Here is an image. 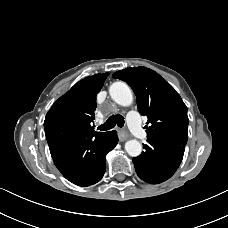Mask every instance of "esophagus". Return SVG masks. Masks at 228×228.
Here are the masks:
<instances>
[{"mask_svg": "<svg viewBox=\"0 0 228 228\" xmlns=\"http://www.w3.org/2000/svg\"><path fill=\"white\" fill-rule=\"evenodd\" d=\"M129 137L128 133L124 130H119L118 131V138H119V141L123 142L125 140H127Z\"/></svg>", "mask_w": 228, "mask_h": 228, "instance_id": "obj_1", "label": "esophagus"}]
</instances>
